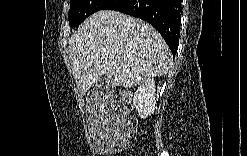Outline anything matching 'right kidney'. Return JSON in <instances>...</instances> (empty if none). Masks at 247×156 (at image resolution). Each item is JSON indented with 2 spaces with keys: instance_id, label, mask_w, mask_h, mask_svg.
<instances>
[{
  "instance_id": "right-kidney-1",
  "label": "right kidney",
  "mask_w": 247,
  "mask_h": 156,
  "mask_svg": "<svg viewBox=\"0 0 247 156\" xmlns=\"http://www.w3.org/2000/svg\"><path fill=\"white\" fill-rule=\"evenodd\" d=\"M155 81L153 78L145 79L133 97V106L139 117L145 119L151 116L155 109Z\"/></svg>"
}]
</instances>
